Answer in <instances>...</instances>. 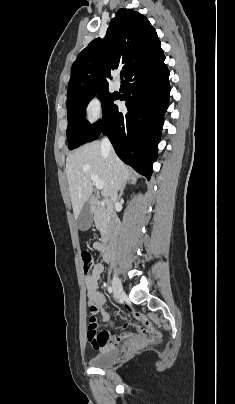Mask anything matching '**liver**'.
Instances as JSON below:
<instances>
[{"label": "liver", "mask_w": 235, "mask_h": 404, "mask_svg": "<svg viewBox=\"0 0 235 404\" xmlns=\"http://www.w3.org/2000/svg\"><path fill=\"white\" fill-rule=\"evenodd\" d=\"M65 171L75 218L93 192L91 175H97L104 183L102 195L106 199L122 189L132 177L130 169L113 151L102 150L100 141L85 144L70 154Z\"/></svg>", "instance_id": "6515ba94"}]
</instances>
